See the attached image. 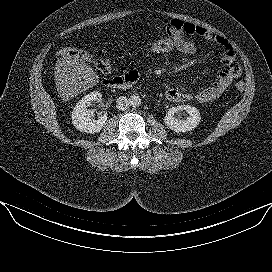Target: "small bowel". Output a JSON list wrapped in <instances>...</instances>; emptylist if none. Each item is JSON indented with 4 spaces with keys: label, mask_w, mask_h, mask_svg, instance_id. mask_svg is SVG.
I'll list each match as a JSON object with an SVG mask.
<instances>
[{
    "label": "small bowel",
    "mask_w": 272,
    "mask_h": 272,
    "mask_svg": "<svg viewBox=\"0 0 272 272\" xmlns=\"http://www.w3.org/2000/svg\"><path fill=\"white\" fill-rule=\"evenodd\" d=\"M166 32L168 37L177 40L183 45L185 54L195 52L194 42L190 38L192 36L201 37L209 42L215 43L222 51L221 62L223 64V68L218 72L215 81L195 94L180 91L175 87H168L166 89V97L170 101L183 103L195 99L199 103L212 102L218 99L231 85L233 80L240 76V64L236 59L232 45L225 37L203 26L178 19L172 20L167 25Z\"/></svg>",
    "instance_id": "obj_1"
}]
</instances>
